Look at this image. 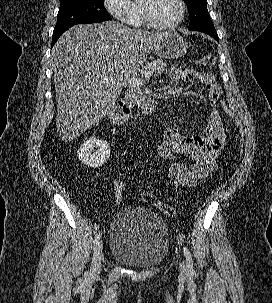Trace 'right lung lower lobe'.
Listing matches in <instances>:
<instances>
[{"label":"right lung lower lobe","instance_id":"98d812e1","mask_svg":"<svg viewBox=\"0 0 272 303\" xmlns=\"http://www.w3.org/2000/svg\"><path fill=\"white\" fill-rule=\"evenodd\" d=\"M68 28H70V27H68ZM68 28L53 32L52 47L56 43V41L58 40V38L62 35V33H64Z\"/></svg>","mask_w":272,"mask_h":303}]
</instances>
